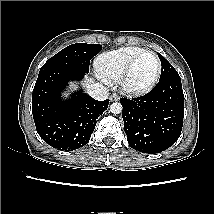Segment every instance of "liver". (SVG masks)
<instances>
[{
  "instance_id": "liver-1",
  "label": "liver",
  "mask_w": 214,
  "mask_h": 214,
  "mask_svg": "<svg viewBox=\"0 0 214 214\" xmlns=\"http://www.w3.org/2000/svg\"><path fill=\"white\" fill-rule=\"evenodd\" d=\"M93 82V79H91V78H86L85 79V81H84V85L85 86H88L90 83H92ZM73 87H74V85H72Z\"/></svg>"
}]
</instances>
